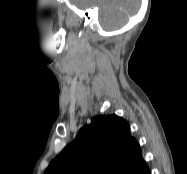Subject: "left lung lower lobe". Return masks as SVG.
Instances as JSON below:
<instances>
[{"label":"left lung lower lobe","instance_id":"1","mask_svg":"<svg viewBox=\"0 0 187 174\" xmlns=\"http://www.w3.org/2000/svg\"><path fill=\"white\" fill-rule=\"evenodd\" d=\"M130 174H151L146 163H138Z\"/></svg>","mask_w":187,"mask_h":174}]
</instances>
